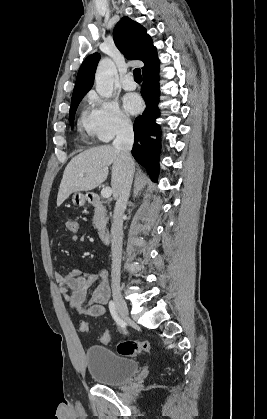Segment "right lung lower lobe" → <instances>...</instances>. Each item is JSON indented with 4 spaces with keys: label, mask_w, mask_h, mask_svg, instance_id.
<instances>
[{
    "label": "right lung lower lobe",
    "mask_w": 267,
    "mask_h": 419,
    "mask_svg": "<svg viewBox=\"0 0 267 419\" xmlns=\"http://www.w3.org/2000/svg\"><path fill=\"white\" fill-rule=\"evenodd\" d=\"M159 62L143 72L144 82L141 88L146 109L142 115L135 119L133 130L135 142L132 148V155L136 161L145 167L156 181L159 172V139L150 138L151 135L159 136L158 126L155 119L159 115L157 104L159 102Z\"/></svg>",
    "instance_id": "obj_1"
}]
</instances>
